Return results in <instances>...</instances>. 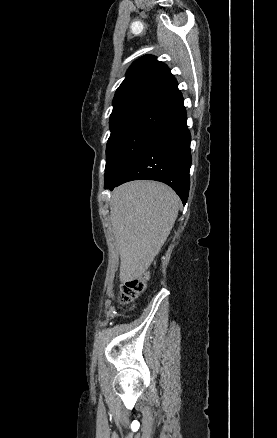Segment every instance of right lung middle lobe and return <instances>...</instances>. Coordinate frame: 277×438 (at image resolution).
Masks as SVG:
<instances>
[{"label": "right lung middle lobe", "instance_id": "obj_1", "mask_svg": "<svg viewBox=\"0 0 277 438\" xmlns=\"http://www.w3.org/2000/svg\"><path fill=\"white\" fill-rule=\"evenodd\" d=\"M168 111L110 118L111 135L106 149L105 183L117 180L143 148Z\"/></svg>", "mask_w": 277, "mask_h": 438}]
</instances>
